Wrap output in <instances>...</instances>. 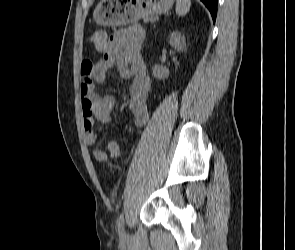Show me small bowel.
I'll use <instances>...</instances> for the list:
<instances>
[{
  "label": "small bowel",
  "instance_id": "1",
  "mask_svg": "<svg viewBox=\"0 0 295 250\" xmlns=\"http://www.w3.org/2000/svg\"><path fill=\"white\" fill-rule=\"evenodd\" d=\"M144 30L139 26L119 29L114 32L106 45L99 49L103 57L97 62L84 60L81 64V102L83 126L86 142L90 146L98 144L94 131L96 122L101 125L109 123L111 113L116 106L113 96H101L95 92V86L101 82L110 70L118 73L132 83L129 88L128 106L134 118L136 128L144 126L148 120L147 100L151 89V79L141 56ZM109 153L117 156L120 152L115 141L107 144ZM97 159L106 156L100 149L95 150Z\"/></svg>",
  "mask_w": 295,
  "mask_h": 250
}]
</instances>
